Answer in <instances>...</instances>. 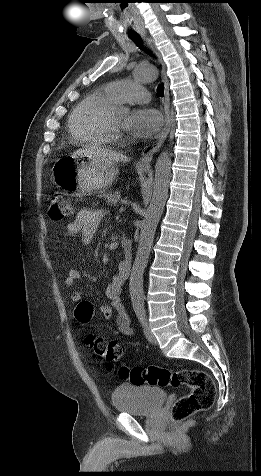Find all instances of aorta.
Returning <instances> with one entry per match:
<instances>
[{
  "mask_svg": "<svg viewBox=\"0 0 261 476\" xmlns=\"http://www.w3.org/2000/svg\"><path fill=\"white\" fill-rule=\"evenodd\" d=\"M136 79L142 82H152L157 78V70L153 65L138 66L135 69ZM120 111L128 113L122 107ZM171 174V155L162 152L155 165V178L150 204L141 224L139 244L130 274L129 291L133 307L144 305L143 274L147 266L157 225L162 216L168 198V188Z\"/></svg>",
  "mask_w": 261,
  "mask_h": 476,
  "instance_id": "aorta-1",
  "label": "aorta"
}]
</instances>
